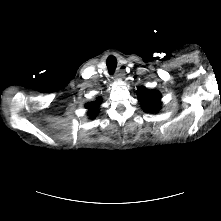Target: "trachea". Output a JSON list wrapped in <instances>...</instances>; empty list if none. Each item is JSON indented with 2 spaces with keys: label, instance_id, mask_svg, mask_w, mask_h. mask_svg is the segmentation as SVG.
<instances>
[{
  "label": "trachea",
  "instance_id": "1",
  "mask_svg": "<svg viewBox=\"0 0 221 221\" xmlns=\"http://www.w3.org/2000/svg\"><path fill=\"white\" fill-rule=\"evenodd\" d=\"M117 66V61L114 57H110L107 60V67L110 74H113Z\"/></svg>",
  "mask_w": 221,
  "mask_h": 221
}]
</instances>
